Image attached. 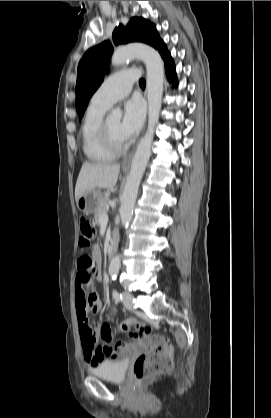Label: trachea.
Returning a JSON list of instances; mask_svg holds the SVG:
<instances>
[{
    "label": "trachea",
    "mask_w": 271,
    "mask_h": 418,
    "mask_svg": "<svg viewBox=\"0 0 271 418\" xmlns=\"http://www.w3.org/2000/svg\"><path fill=\"white\" fill-rule=\"evenodd\" d=\"M139 85L142 87V88H145V86H146V81L142 78V79H140L139 80Z\"/></svg>",
    "instance_id": "obj_1"
}]
</instances>
